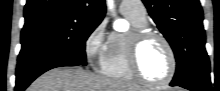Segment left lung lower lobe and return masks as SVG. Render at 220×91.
<instances>
[{
  "label": "left lung lower lobe",
  "instance_id": "left-lung-lower-lobe-1",
  "mask_svg": "<svg viewBox=\"0 0 220 91\" xmlns=\"http://www.w3.org/2000/svg\"><path fill=\"white\" fill-rule=\"evenodd\" d=\"M171 86H180L191 91H211V81L209 77L200 76L188 79L180 84H170Z\"/></svg>",
  "mask_w": 220,
  "mask_h": 91
}]
</instances>
